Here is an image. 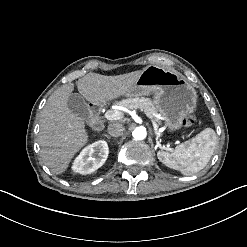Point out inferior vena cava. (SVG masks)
<instances>
[{
  "label": "inferior vena cava",
  "instance_id": "1",
  "mask_svg": "<svg viewBox=\"0 0 247 247\" xmlns=\"http://www.w3.org/2000/svg\"><path fill=\"white\" fill-rule=\"evenodd\" d=\"M125 128L121 123L115 122L108 125L107 131L113 137L121 136Z\"/></svg>",
  "mask_w": 247,
  "mask_h": 247
}]
</instances>
